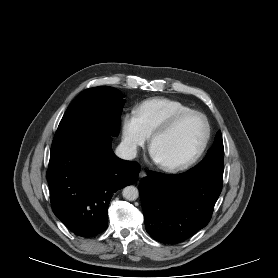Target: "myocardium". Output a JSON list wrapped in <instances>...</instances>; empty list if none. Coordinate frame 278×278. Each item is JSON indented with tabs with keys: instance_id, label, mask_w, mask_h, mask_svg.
Masks as SVG:
<instances>
[{
	"instance_id": "f54148a6",
	"label": "myocardium",
	"mask_w": 278,
	"mask_h": 278,
	"mask_svg": "<svg viewBox=\"0 0 278 278\" xmlns=\"http://www.w3.org/2000/svg\"><path fill=\"white\" fill-rule=\"evenodd\" d=\"M190 115H197L201 117L204 121L205 124V135L202 140L201 145L197 149V151L188 159L178 162V163H173V164H166V163H161L157 162L159 167L167 172H179L183 171L192 165H194L204 154L205 150L207 149V146L209 144L210 138H211V125L209 122V119L207 116L198 110L194 109H189L186 111L179 112L172 116L169 120H167L165 123L160 125L158 128H156L153 133L151 134V139H150V149L152 150L154 142L161 136L171 132L177 125L178 123L184 119L187 116Z\"/></svg>"
}]
</instances>
